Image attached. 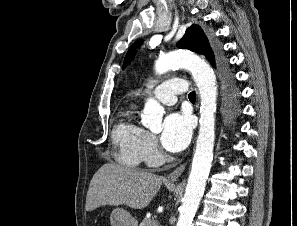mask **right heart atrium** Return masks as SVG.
I'll list each match as a JSON object with an SVG mask.
<instances>
[{"label":"right heart atrium","instance_id":"d8ad5b80","mask_svg":"<svg viewBox=\"0 0 297 226\" xmlns=\"http://www.w3.org/2000/svg\"><path fill=\"white\" fill-rule=\"evenodd\" d=\"M142 159L149 164H156L160 159V150L156 137L146 132L143 142Z\"/></svg>","mask_w":297,"mask_h":226}]
</instances>
